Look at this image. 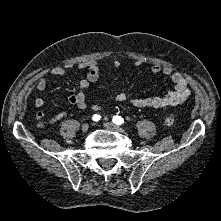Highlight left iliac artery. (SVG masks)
I'll return each instance as SVG.
<instances>
[{
  "instance_id": "1",
  "label": "left iliac artery",
  "mask_w": 221,
  "mask_h": 221,
  "mask_svg": "<svg viewBox=\"0 0 221 221\" xmlns=\"http://www.w3.org/2000/svg\"><path fill=\"white\" fill-rule=\"evenodd\" d=\"M112 121H113L115 124H118V125H121L122 123H124L123 118H122L121 116H118V115L113 116Z\"/></svg>"
}]
</instances>
